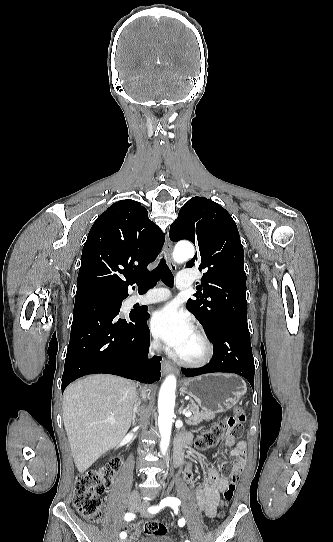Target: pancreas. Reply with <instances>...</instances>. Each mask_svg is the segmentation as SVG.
I'll use <instances>...</instances> for the list:
<instances>
[{"instance_id":"cf45deb5","label":"pancreas","mask_w":333,"mask_h":542,"mask_svg":"<svg viewBox=\"0 0 333 542\" xmlns=\"http://www.w3.org/2000/svg\"><path fill=\"white\" fill-rule=\"evenodd\" d=\"M188 408H190V412H192L191 418H186L185 422L186 424H189V426H198L200 422H203V420H214L216 418V414L218 412H211V410H203V412H199L198 406L194 404V402H190V404H187Z\"/></svg>"}]
</instances>
